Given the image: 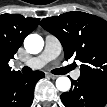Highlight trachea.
<instances>
[{"mask_svg":"<svg viewBox=\"0 0 107 107\" xmlns=\"http://www.w3.org/2000/svg\"><path fill=\"white\" fill-rule=\"evenodd\" d=\"M70 69H71L70 67H63V68H59V69H54L51 72L55 75H62V74H66ZM30 71H31V69L29 67L22 68L23 73H28Z\"/></svg>","mask_w":107,"mask_h":107,"instance_id":"obj_1","label":"trachea"}]
</instances>
